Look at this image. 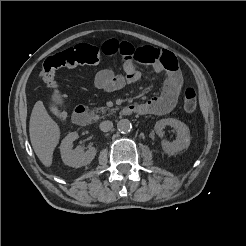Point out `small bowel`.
I'll list each match as a JSON object with an SVG mask.
<instances>
[{"label":"small bowel","instance_id":"obj_1","mask_svg":"<svg viewBox=\"0 0 246 246\" xmlns=\"http://www.w3.org/2000/svg\"><path fill=\"white\" fill-rule=\"evenodd\" d=\"M105 55H120L123 58V74L112 69H103L95 77L97 89L113 92L140 80L141 73L134 61L151 65L156 73L165 74L162 91L158 96L137 104L139 114L165 115L176 106L182 86L183 76L176 56L167 50L153 47L134 48L129 42L115 39L106 40L100 47Z\"/></svg>","mask_w":246,"mask_h":246}]
</instances>
